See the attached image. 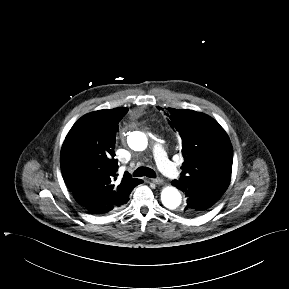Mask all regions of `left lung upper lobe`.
Masks as SVG:
<instances>
[{"label":"left lung upper lobe","mask_w":289,"mask_h":289,"mask_svg":"<svg viewBox=\"0 0 289 289\" xmlns=\"http://www.w3.org/2000/svg\"><path fill=\"white\" fill-rule=\"evenodd\" d=\"M172 128L182 139V173L177 184L221 197L231 178L233 149L224 129L210 116L169 108Z\"/></svg>","instance_id":"left-lung-upper-lobe-1"}]
</instances>
